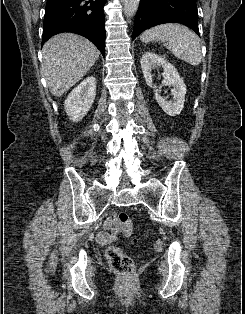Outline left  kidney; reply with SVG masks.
Here are the masks:
<instances>
[{
  "instance_id": "left-kidney-1",
  "label": "left kidney",
  "mask_w": 245,
  "mask_h": 314,
  "mask_svg": "<svg viewBox=\"0 0 245 314\" xmlns=\"http://www.w3.org/2000/svg\"><path fill=\"white\" fill-rule=\"evenodd\" d=\"M141 69L145 78L146 83L149 87L153 88L155 93V98L159 104V106L163 109V111L169 116H177L181 113L184 101H185V94H186V85L183 79L180 77L178 71L175 69L171 63L165 60L163 57L157 55L154 52H146L142 55L140 60ZM157 66H161L164 70L163 73V84L165 86L172 87V95L173 99L170 101H166L160 95V91L155 88L152 84V74L151 70Z\"/></svg>"
}]
</instances>
